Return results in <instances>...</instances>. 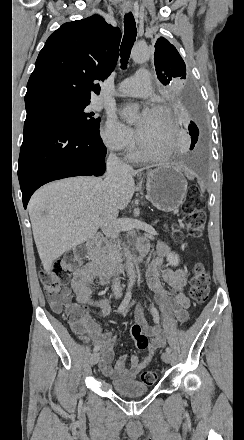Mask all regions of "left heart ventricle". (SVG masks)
<instances>
[{"mask_svg": "<svg viewBox=\"0 0 244 440\" xmlns=\"http://www.w3.org/2000/svg\"><path fill=\"white\" fill-rule=\"evenodd\" d=\"M169 124V118L166 113L152 110L147 120H139V127L146 139L147 145H158L164 137Z\"/></svg>", "mask_w": 244, "mask_h": 440, "instance_id": "b2bd125f", "label": "left heart ventricle"}]
</instances>
